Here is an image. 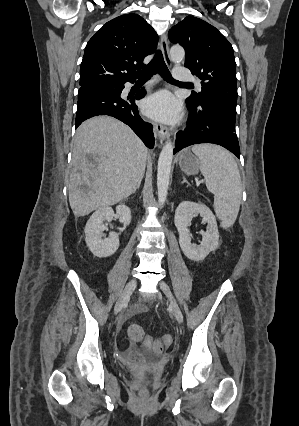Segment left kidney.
Wrapping results in <instances>:
<instances>
[{"label":"left kidney","mask_w":299,"mask_h":426,"mask_svg":"<svg viewBox=\"0 0 299 426\" xmlns=\"http://www.w3.org/2000/svg\"><path fill=\"white\" fill-rule=\"evenodd\" d=\"M199 214L203 222L207 223V230L200 231L202 242L195 246L191 244V234L188 229L193 216ZM175 226L179 233V244L184 255L193 261H202L207 255L215 251L219 245L217 222L212 211L200 202L183 201L175 211Z\"/></svg>","instance_id":"left-kidney-1"}]
</instances>
